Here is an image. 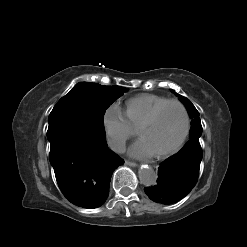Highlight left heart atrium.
Returning a JSON list of instances; mask_svg holds the SVG:
<instances>
[{"label":"left heart atrium","mask_w":247,"mask_h":247,"mask_svg":"<svg viewBox=\"0 0 247 247\" xmlns=\"http://www.w3.org/2000/svg\"><path fill=\"white\" fill-rule=\"evenodd\" d=\"M129 154L134 157L143 158L152 156L154 153L148 144L140 138L130 147Z\"/></svg>","instance_id":"1"}]
</instances>
